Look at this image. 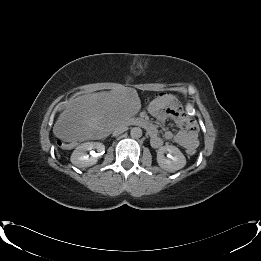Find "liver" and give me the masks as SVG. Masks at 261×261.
Listing matches in <instances>:
<instances>
[{"instance_id": "liver-1", "label": "liver", "mask_w": 261, "mask_h": 261, "mask_svg": "<svg viewBox=\"0 0 261 261\" xmlns=\"http://www.w3.org/2000/svg\"><path fill=\"white\" fill-rule=\"evenodd\" d=\"M136 97L138 94L135 90L125 87L80 96L76 103L60 114L53 133L67 142L103 138L124 119L136 113Z\"/></svg>"}]
</instances>
